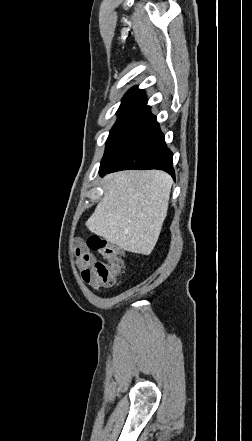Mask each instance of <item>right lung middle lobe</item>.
I'll list each match as a JSON object with an SVG mask.
<instances>
[{"label": "right lung middle lobe", "mask_w": 252, "mask_h": 441, "mask_svg": "<svg viewBox=\"0 0 252 441\" xmlns=\"http://www.w3.org/2000/svg\"><path fill=\"white\" fill-rule=\"evenodd\" d=\"M145 110L146 103L130 104L118 109V119L112 127L106 141V149L101 164H104L113 158L136 126Z\"/></svg>", "instance_id": "1"}]
</instances>
